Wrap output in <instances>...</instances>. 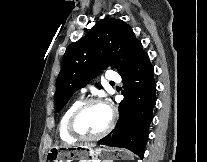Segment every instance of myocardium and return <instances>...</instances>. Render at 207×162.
<instances>
[{"instance_id":"myocardium-1","label":"myocardium","mask_w":207,"mask_h":162,"mask_svg":"<svg viewBox=\"0 0 207 162\" xmlns=\"http://www.w3.org/2000/svg\"><path fill=\"white\" fill-rule=\"evenodd\" d=\"M93 104H102L108 108L109 111V121L107 126L104 128V130L96 135H86L84 133H81L77 129V121L81 114L91 105ZM115 120V111L114 109L109 106L103 99L101 98H89L84 100L82 103H80L74 111L71 113L68 122H67V131L69 135H71L74 138L81 139V140H97L100 138H103L106 136L112 129L113 124Z\"/></svg>"}]
</instances>
